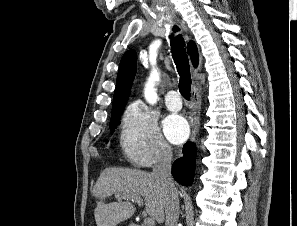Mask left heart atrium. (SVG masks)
<instances>
[{
	"label": "left heart atrium",
	"instance_id": "1",
	"mask_svg": "<svg viewBox=\"0 0 297 226\" xmlns=\"http://www.w3.org/2000/svg\"><path fill=\"white\" fill-rule=\"evenodd\" d=\"M163 129L166 137L174 144L184 142L189 135V127L186 120L179 115H169L163 121Z\"/></svg>",
	"mask_w": 297,
	"mask_h": 226
}]
</instances>
